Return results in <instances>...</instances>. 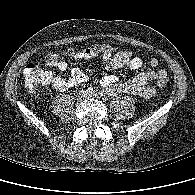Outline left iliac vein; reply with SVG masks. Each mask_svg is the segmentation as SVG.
Masks as SVG:
<instances>
[{"instance_id": "4c4485c4", "label": "left iliac vein", "mask_w": 195, "mask_h": 195, "mask_svg": "<svg viewBox=\"0 0 195 195\" xmlns=\"http://www.w3.org/2000/svg\"><path fill=\"white\" fill-rule=\"evenodd\" d=\"M87 96H88L89 98L98 97V95H97L95 92L88 93Z\"/></svg>"}]
</instances>
